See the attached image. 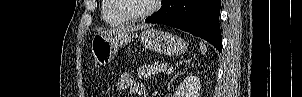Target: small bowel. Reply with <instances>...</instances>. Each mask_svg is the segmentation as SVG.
I'll return each mask as SVG.
<instances>
[{
    "label": "small bowel",
    "mask_w": 302,
    "mask_h": 97,
    "mask_svg": "<svg viewBox=\"0 0 302 97\" xmlns=\"http://www.w3.org/2000/svg\"><path fill=\"white\" fill-rule=\"evenodd\" d=\"M117 90L119 93L131 92L136 97H147L146 88L144 87V85L138 82L128 72L121 74L117 83Z\"/></svg>",
    "instance_id": "small-bowel-1"
}]
</instances>
